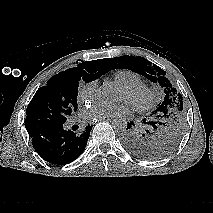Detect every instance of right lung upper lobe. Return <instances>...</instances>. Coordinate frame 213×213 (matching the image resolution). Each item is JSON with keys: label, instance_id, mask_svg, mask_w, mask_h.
Wrapping results in <instances>:
<instances>
[{"label": "right lung upper lobe", "instance_id": "obj_1", "mask_svg": "<svg viewBox=\"0 0 213 213\" xmlns=\"http://www.w3.org/2000/svg\"><path fill=\"white\" fill-rule=\"evenodd\" d=\"M105 59L100 60H93V61H86L83 63L78 64V67H84L89 70H91L94 73H97L98 75H103L106 72L110 71V68L107 67V64L105 63Z\"/></svg>", "mask_w": 213, "mask_h": 213}]
</instances>
